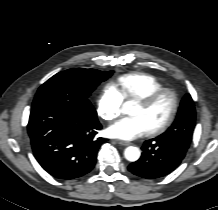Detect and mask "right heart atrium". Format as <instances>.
Instances as JSON below:
<instances>
[{
	"mask_svg": "<svg viewBox=\"0 0 218 210\" xmlns=\"http://www.w3.org/2000/svg\"><path fill=\"white\" fill-rule=\"evenodd\" d=\"M123 99L119 92L107 86L97 100V113L106 121H113L122 113Z\"/></svg>",
	"mask_w": 218,
	"mask_h": 210,
	"instance_id": "right-heart-atrium-1",
	"label": "right heart atrium"
}]
</instances>
